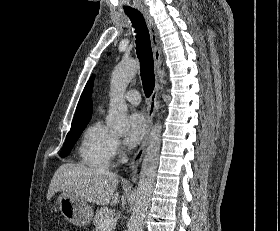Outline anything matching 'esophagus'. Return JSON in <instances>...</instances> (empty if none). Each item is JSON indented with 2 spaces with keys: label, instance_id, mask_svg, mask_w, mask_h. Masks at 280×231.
<instances>
[{
  "label": "esophagus",
  "instance_id": "34e87169",
  "mask_svg": "<svg viewBox=\"0 0 280 231\" xmlns=\"http://www.w3.org/2000/svg\"><path fill=\"white\" fill-rule=\"evenodd\" d=\"M141 11L143 12V15L145 17V21L150 34V43H151L152 53L154 58V66L156 70H159L162 63V54H161V46H160V41L158 36V30L147 8L141 7ZM159 89H160V84L157 80L147 108V130L140 147L138 148V150L136 151V153L134 154L131 160L130 167H129L130 177L136 175L139 165L141 164L143 156L145 154L148 137L153 124L154 114L158 109L157 97H158Z\"/></svg>",
  "mask_w": 280,
  "mask_h": 231
}]
</instances>
